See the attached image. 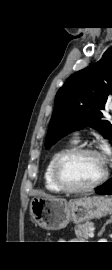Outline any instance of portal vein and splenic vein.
Masks as SVG:
<instances>
[{"label":"portal vein and splenic vein","mask_w":112,"mask_h":270,"mask_svg":"<svg viewBox=\"0 0 112 270\" xmlns=\"http://www.w3.org/2000/svg\"><path fill=\"white\" fill-rule=\"evenodd\" d=\"M89 237L90 238H93L94 237V232L91 230L90 233H89Z\"/></svg>","instance_id":"18ae733b"}]
</instances>
